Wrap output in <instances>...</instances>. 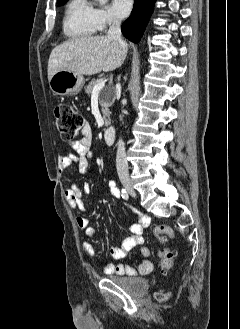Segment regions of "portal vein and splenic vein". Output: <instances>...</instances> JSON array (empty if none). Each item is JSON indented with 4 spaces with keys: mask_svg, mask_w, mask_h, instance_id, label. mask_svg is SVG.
<instances>
[{
    "mask_svg": "<svg viewBox=\"0 0 240 329\" xmlns=\"http://www.w3.org/2000/svg\"><path fill=\"white\" fill-rule=\"evenodd\" d=\"M105 86V82L104 81H100L99 83H97L92 90V96H98L100 91L104 88Z\"/></svg>",
    "mask_w": 240,
    "mask_h": 329,
    "instance_id": "1",
    "label": "portal vein and splenic vein"
}]
</instances>
